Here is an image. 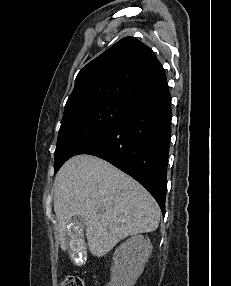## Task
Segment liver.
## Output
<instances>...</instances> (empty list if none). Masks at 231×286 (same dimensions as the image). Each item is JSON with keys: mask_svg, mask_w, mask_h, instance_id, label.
Segmentation results:
<instances>
[{"mask_svg": "<svg viewBox=\"0 0 231 286\" xmlns=\"http://www.w3.org/2000/svg\"><path fill=\"white\" fill-rule=\"evenodd\" d=\"M54 211L63 251L68 248V225L74 216L86 221L89 250L105 256L122 239L155 231L160 208L132 177L92 155H77L59 170L54 182Z\"/></svg>", "mask_w": 231, "mask_h": 286, "instance_id": "6515ba94", "label": "liver"}]
</instances>
